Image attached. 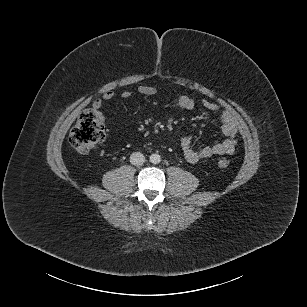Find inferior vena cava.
Returning a JSON list of instances; mask_svg holds the SVG:
<instances>
[{"label": "inferior vena cava", "instance_id": "obj_1", "mask_svg": "<svg viewBox=\"0 0 307 307\" xmlns=\"http://www.w3.org/2000/svg\"><path fill=\"white\" fill-rule=\"evenodd\" d=\"M130 162L133 165H142L145 162V157L141 152H134L130 156Z\"/></svg>", "mask_w": 307, "mask_h": 307}]
</instances>
